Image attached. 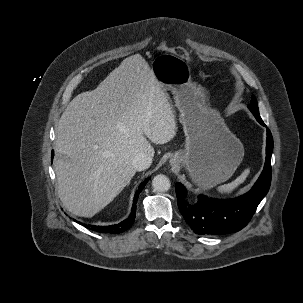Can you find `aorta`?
Here are the masks:
<instances>
[{"instance_id": "obj_1", "label": "aorta", "mask_w": 303, "mask_h": 303, "mask_svg": "<svg viewBox=\"0 0 303 303\" xmlns=\"http://www.w3.org/2000/svg\"><path fill=\"white\" fill-rule=\"evenodd\" d=\"M152 187L156 192H166L170 188V180L165 175H157L152 180Z\"/></svg>"}]
</instances>
